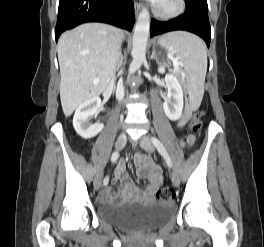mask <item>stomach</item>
Wrapping results in <instances>:
<instances>
[{
  "instance_id": "0dacf381",
  "label": "stomach",
  "mask_w": 264,
  "mask_h": 247,
  "mask_svg": "<svg viewBox=\"0 0 264 247\" xmlns=\"http://www.w3.org/2000/svg\"><path fill=\"white\" fill-rule=\"evenodd\" d=\"M157 45H160L159 40H158V43L155 44V47ZM160 46H162V45H160ZM154 52L156 53L155 54V57L156 58H169L170 57V54L169 53H166L167 52V49L166 48H155L154 49Z\"/></svg>"
}]
</instances>
